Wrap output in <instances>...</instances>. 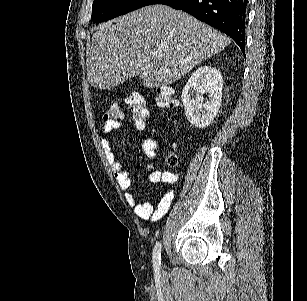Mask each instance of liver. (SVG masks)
Here are the masks:
<instances>
[{
  "instance_id": "obj_1",
  "label": "liver",
  "mask_w": 307,
  "mask_h": 301,
  "mask_svg": "<svg viewBox=\"0 0 307 301\" xmlns=\"http://www.w3.org/2000/svg\"><path fill=\"white\" fill-rule=\"evenodd\" d=\"M231 40L167 4L143 6L97 26L87 54V78L94 88H112L132 76L142 78L147 88L167 86Z\"/></svg>"
}]
</instances>
